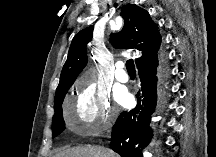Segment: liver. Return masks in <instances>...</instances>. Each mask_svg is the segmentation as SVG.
Segmentation results:
<instances>
[{"label": "liver", "instance_id": "1", "mask_svg": "<svg viewBox=\"0 0 216 157\" xmlns=\"http://www.w3.org/2000/svg\"><path fill=\"white\" fill-rule=\"evenodd\" d=\"M55 157H116V154L105 147L86 146L60 151Z\"/></svg>", "mask_w": 216, "mask_h": 157}]
</instances>
